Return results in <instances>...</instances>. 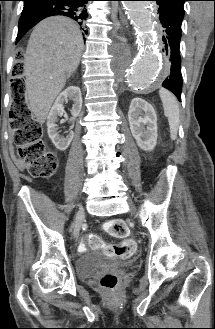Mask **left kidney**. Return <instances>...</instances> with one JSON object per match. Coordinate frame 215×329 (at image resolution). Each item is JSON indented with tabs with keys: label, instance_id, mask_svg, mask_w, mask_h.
I'll return each instance as SVG.
<instances>
[{
	"label": "left kidney",
	"instance_id": "left-kidney-1",
	"mask_svg": "<svg viewBox=\"0 0 215 329\" xmlns=\"http://www.w3.org/2000/svg\"><path fill=\"white\" fill-rule=\"evenodd\" d=\"M130 130L137 145L151 151L157 144V116L152 105L142 98H133L128 112Z\"/></svg>",
	"mask_w": 215,
	"mask_h": 329
}]
</instances>
